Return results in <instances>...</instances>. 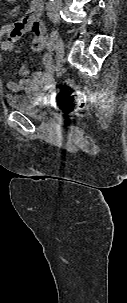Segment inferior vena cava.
Wrapping results in <instances>:
<instances>
[{
  "instance_id": "obj_1",
  "label": "inferior vena cava",
  "mask_w": 127,
  "mask_h": 303,
  "mask_svg": "<svg viewBox=\"0 0 127 303\" xmlns=\"http://www.w3.org/2000/svg\"><path fill=\"white\" fill-rule=\"evenodd\" d=\"M62 6V0H49L48 17L53 21L59 20V12Z\"/></svg>"
}]
</instances>
